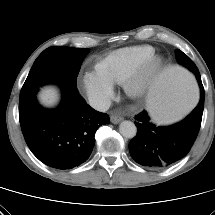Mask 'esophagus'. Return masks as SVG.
<instances>
[{"label": "esophagus", "mask_w": 215, "mask_h": 215, "mask_svg": "<svg viewBox=\"0 0 215 215\" xmlns=\"http://www.w3.org/2000/svg\"><path fill=\"white\" fill-rule=\"evenodd\" d=\"M123 118L121 116L118 115H111L110 116V121L114 124L119 123Z\"/></svg>", "instance_id": "obj_1"}]
</instances>
